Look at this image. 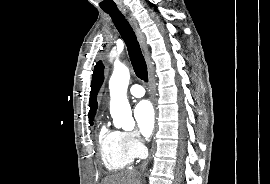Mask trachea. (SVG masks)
<instances>
[{"instance_id":"trachea-1","label":"trachea","mask_w":270,"mask_h":184,"mask_svg":"<svg viewBox=\"0 0 270 184\" xmlns=\"http://www.w3.org/2000/svg\"><path fill=\"white\" fill-rule=\"evenodd\" d=\"M110 15L113 23L120 32L126 46L128 48L130 60L134 68V72L138 78L143 81L148 80L147 65L142 55L139 43L131 26L118 9L104 10Z\"/></svg>"}]
</instances>
